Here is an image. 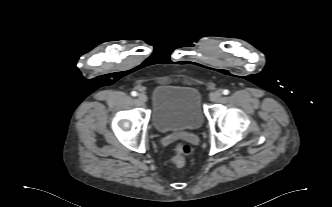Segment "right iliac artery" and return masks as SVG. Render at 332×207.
I'll return each mask as SVG.
<instances>
[{
	"instance_id": "right-iliac-artery-1",
	"label": "right iliac artery",
	"mask_w": 332,
	"mask_h": 207,
	"mask_svg": "<svg viewBox=\"0 0 332 207\" xmlns=\"http://www.w3.org/2000/svg\"><path fill=\"white\" fill-rule=\"evenodd\" d=\"M131 95L135 97V96H137V92L136 91H132Z\"/></svg>"
}]
</instances>
